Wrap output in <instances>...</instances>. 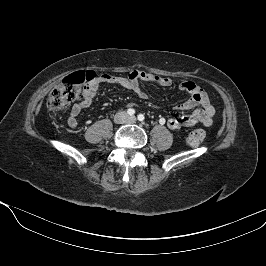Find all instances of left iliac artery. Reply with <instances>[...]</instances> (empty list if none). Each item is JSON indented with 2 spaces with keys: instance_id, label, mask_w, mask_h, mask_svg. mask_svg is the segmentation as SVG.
<instances>
[{
  "instance_id": "44dca946",
  "label": "left iliac artery",
  "mask_w": 266,
  "mask_h": 266,
  "mask_svg": "<svg viewBox=\"0 0 266 266\" xmlns=\"http://www.w3.org/2000/svg\"><path fill=\"white\" fill-rule=\"evenodd\" d=\"M144 119H145V117H144L143 114H139V115H138V120H139V121L142 122V121H144Z\"/></svg>"
}]
</instances>
